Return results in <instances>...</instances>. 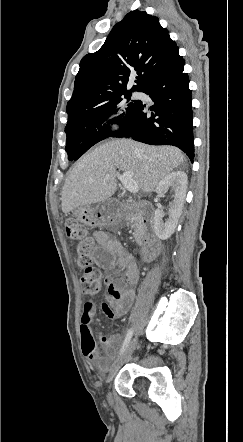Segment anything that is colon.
<instances>
[{
	"mask_svg": "<svg viewBox=\"0 0 243 442\" xmlns=\"http://www.w3.org/2000/svg\"><path fill=\"white\" fill-rule=\"evenodd\" d=\"M65 230L68 238L78 241L77 262L83 269L81 287L88 295H97L102 292L107 280L103 279L101 271L93 266V250L95 241L89 235L86 225L75 219L65 221Z\"/></svg>",
	"mask_w": 243,
	"mask_h": 442,
	"instance_id": "5ec220e1",
	"label": "colon"
}]
</instances>
